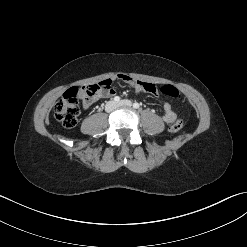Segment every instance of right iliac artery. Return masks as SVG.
<instances>
[{"mask_svg":"<svg viewBox=\"0 0 247 247\" xmlns=\"http://www.w3.org/2000/svg\"><path fill=\"white\" fill-rule=\"evenodd\" d=\"M114 101H115V102H119V101H120V97H119V96H115V97H114Z\"/></svg>","mask_w":247,"mask_h":247,"instance_id":"82829eb1","label":"right iliac artery"}]
</instances>
